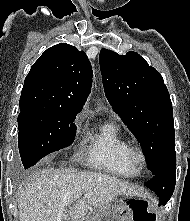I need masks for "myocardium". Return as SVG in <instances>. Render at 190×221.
Segmentation results:
<instances>
[{"label": "myocardium", "instance_id": "f54148a6", "mask_svg": "<svg viewBox=\"0 0 190 221\" xmlns=\"http://www.w3.org/2000/svg\"><path fill=\"white\" fill-rule=\"evenodd\" d=\"M128 158L132 166L141 172L148 163V156L145 149L138 144H130L128 148Z\"/></svg>", "mask_w": 190, "mask_h": 221}]
</instances>
